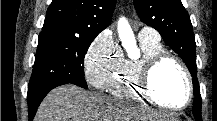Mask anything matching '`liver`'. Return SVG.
I'll return each mask as SVG.
<instances>
[{"label": "liver", "mask_w": 217, "mask_h": 121, "mask_svg": "<svg viewBox=\"0 0 217 121\" xmlns=\"http://www.w3.org/2000/svg\"><path fill=\"white\" fill-rule=\"evenodd\" d=\"M167 121L166 113L146 115L127 102L85 91L74 85L53 89L40 104L34 121Z\"/></svg>", "instance_id": "1"}]
</instances>
